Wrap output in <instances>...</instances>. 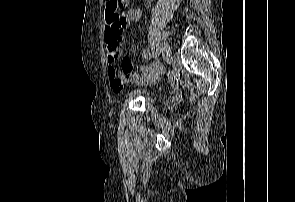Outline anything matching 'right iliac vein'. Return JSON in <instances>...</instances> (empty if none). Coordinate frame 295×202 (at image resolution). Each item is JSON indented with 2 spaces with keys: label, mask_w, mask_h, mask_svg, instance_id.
<instances>
[{
  "label": "right iliac vein",
  "mask_w": 295,
  "mask_h": 202,
  "mask_svg": "<svg viewBox=\"0 0 295 202\" xmlns=\"http://www.w3.org/2000/svg\"><path fill=\"white\" fill-rule=\"evenodd\" d=\"M161 52H162V56H163L164 60H167L169 58V55H170V46H169V44L167 42L162 43ZM152 81H147V83H145L144 85H148Z\"/></svg>",
  "instance_id": "right-iliac-vein-1"
}]
</instances>
